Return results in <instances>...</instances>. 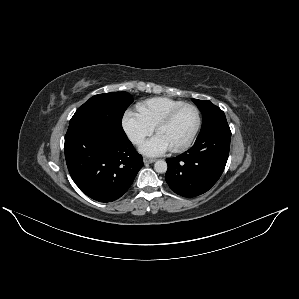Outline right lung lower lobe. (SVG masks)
I'll return each mask as SVG.
<instances>
[{"label": "right lung lower lobe", "instance_id": "1", "mask_svg": "<svg viewBox=\"0 0 299 299\" xmlns=\"http://www.w3.org/2000/svg\"><path fill=\"white\" fill-rule=\"evenodd\" d=\"M64 151L73 181L99 202L120 198L143 166L142 156L125 132L115 131L106 124L70 125Z\"/></svg>", "mask_w": 299, "mask_h": 299}]
</instances>
